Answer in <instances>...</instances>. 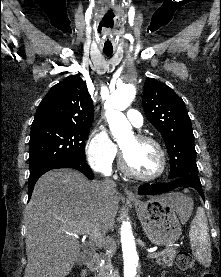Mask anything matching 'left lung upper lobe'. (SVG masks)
I'll list each match as a JSON object with an SVG mask.
<instances>
[{
  "label": "left lung upper lobe",
  "instance_id": "1",
  "mask_svg": "<svg viewBox=\"0 0 221 277\" xmlns=\"http://www.w3.org/2000/svg\"><path fill=\"white\" fill-rule=\"evenodd\" d=\"M142 105L165 141L171 162L168 178L199 180L191 120L182 98L166 84L147 78Z\"/></svg>",
  "mask_w": 221,
  "mask_h": 277
}]
</instances>
